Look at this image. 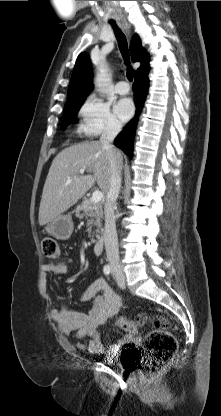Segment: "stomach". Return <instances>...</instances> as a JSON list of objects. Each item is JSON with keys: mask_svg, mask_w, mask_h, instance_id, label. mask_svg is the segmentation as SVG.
<instances>
[{"mask_svg": "<svg viewBox=\"0 0 221 416\" xmlns=\"http://www.w3.org/2000/svg\"><path fill=\"white\" fill-rule=\"evenodd\" d=\"M74 229L70 215H59L45 226V232L59 240H68Z\"/></svg>", "mask_w": 221, "mask_h": 416, "instance_id": "obj_1", "label": "stomach"}]
</instances>
